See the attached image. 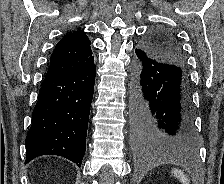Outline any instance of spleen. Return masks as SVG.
<instances>
[{
  "label": "spleen",
  "instance_id": "obj_1",
  "mask_svg": "<svg viewBox=\"0 0 224 184\" xmlns=\"http://www.w3.org/2000/svg\"><path fill=\"white\" fill-rule=\"evenodd\" d=\"M172 173L177 177L183 184H189L190 179L180 169H173Z\"/></svg>",
  "mask_w": 224,
  "mask_h": 184
}]
</instances>
